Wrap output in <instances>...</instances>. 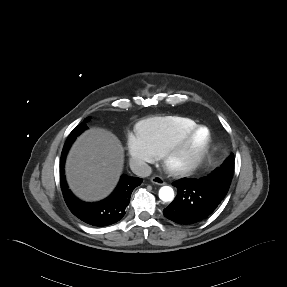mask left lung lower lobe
<instances>
[{
  "instance_id": "obj_1",
  "label": "left lung lower lobe",
  "mask_w": 287,
  "mask_h": 287,
  "mask_svg": "<svg viewBox=\"0 0 287 287\" xmlns=\"http://www.w3.org/2000/svg\"><path fill=\"white\" fill-rule=\"evenodd\" d=\"M231 176L217 168L206 177L183 178L173 185L178 189L174 201L164 209L169 220L180 224H193L207 218L226 196Z\"/></svg>"
}]
</instances>
